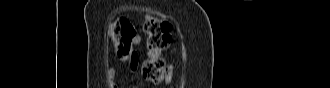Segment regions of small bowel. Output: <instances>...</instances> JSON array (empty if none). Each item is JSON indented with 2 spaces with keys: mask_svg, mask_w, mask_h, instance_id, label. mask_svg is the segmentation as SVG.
<instances>
[{
  "mask_svg": "<svg viewBox=\"0 0 330 88\" xmlns=\"http://www.w3.org/2000/svg\"><path fill=\"white\" fill-rule=\"evenodd\" d=\"M141 33H142L141 29H136V35L132 40V45L136 46V45H139L141 43V41H142ZM122 60L128 61L131 64V70L136 71L137 66H138L139 58H138V55L135 52L131 57H129L127 59H122ZM107 77H108V81H109L110 86L112 88H117L118 86H117V83L115 82L116 70L114 68H111L108 71Z\"/></svg>",
  "mask_w": 330,
  "mask_h": 88,
  "instance_id": "obj_1",
  "label": "small bowel"
}]
</instances>
